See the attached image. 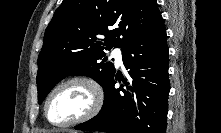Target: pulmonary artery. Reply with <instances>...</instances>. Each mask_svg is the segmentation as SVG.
Instances as JSON below:
<instances>
[{"instance_id": "obj_1", "label": "pulmonary artery", "mask_w": 221, "mask_h": 133, "mask_svg": "<svg viewBox=\"0 0 221 133\" xmlns=\"http://www.w3.org/2000/svg\"><path fill=\"white\" fill-rule=\"evenodd\" d=\"M111 54L115 59L116 65L121 66L123 64L122 50L120 48H115Z\"/></svg>"}]
</instances>
